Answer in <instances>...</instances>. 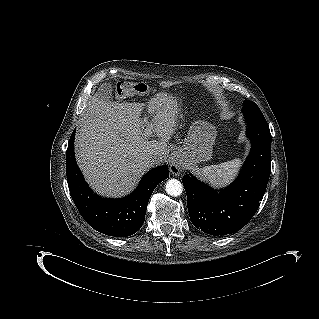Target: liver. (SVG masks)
<instances>
[{"mask_svg": "<svg viewBox=\"0 0 319 319\" xmlns=\"http://www.w3.org/2000/svg\"><path fill=\"white\" fill-rule=\"evenodd\" d=\"M167 85H164L166 87ZM141 103H117L97 92L82 114L75 136L78 166L88 184L99 194L121 197L130 193L152 165V155L166 161L168 142L181 111L177 98L160 92L148 103L149 124L141 118ZM152 126L158 140L145 131Z\"/></svg>", "mask_w": 319, "mask_h": 319, "instance_id": "1", "label": "liver"}]
</instances>
